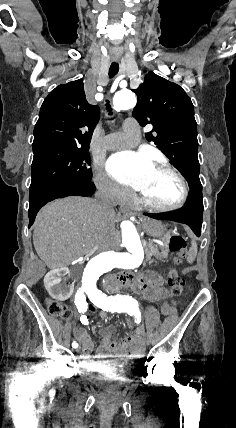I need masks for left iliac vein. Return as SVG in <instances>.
Segmentation results:
<instances>
[{"label": "left iliac vein", "instance_id": "1", "mask_svg": "<svg viewBox=\"0 0 236 428\" xmlns=\"http://www.w3.org/2000/svg\"><path fill=\"white\" fill-rule=\"evenodd\" d=\"M145 338H146V340H147L148 343L152 342L151 335H146Z\"/></svg>", "mask_w": 236, "mask_h": 428}]
</instances>
